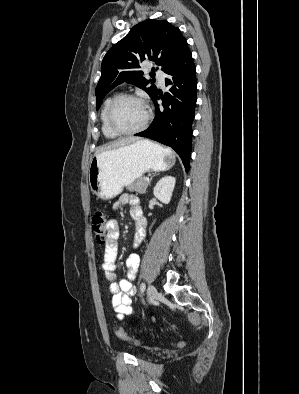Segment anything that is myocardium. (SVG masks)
Here are the masks:
<instances>
[{"label":"myocardium","instance_id":"myocardium-1","mask_svg":"<svg viewBox=\"0 0 299 394\" xmlns=\"http://www.w3.org/2000/svg\"><path fill=\"white\" fill-rule=\"evenodd\" d=\"M126 99L137 100L140 103H142L146 109V116H145L144 121L142 122L141 125H139L137 128L132 129V130H120L113 123L114 109L121 101L126 100ZM151 117H152V111H151L148 103L142 97H140L136 94L124 93V94L117 95L111 101V103L108 107V110H107L106 120H107L108 127L116 135H134V134H137V133L143 131L148 126V124L151 120Z\"/></svg>","mask_w":299,"mask_h":394}]
</instances>
